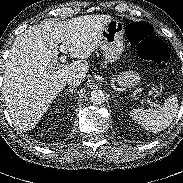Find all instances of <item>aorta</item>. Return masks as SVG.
I'll return each mask as SVG.
<instances>
[{
	"label": "aorta",
	"mask_w": 183,
	"mask_h": 183,
	"mask_svg": "<svg viewBox=\"0 0 183 183\" xmlns=\"http://www.w3.org/2000/svg\"><path fill=\"white\" fill-rule=\"evenodd\" d=\"M90 101L94 105H101L105 101V95L102 90H93L90 93Z\"/></svg>",
	"instance_id": "1"
}]
</instances>
